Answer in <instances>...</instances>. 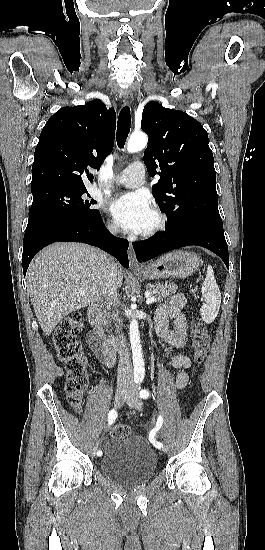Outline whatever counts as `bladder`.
<instances>
[{
	"label": "bladder",
	"instance_id": "1",
	"mask_svg": "<svg viewBox=\"0 0 265 550\" xmlns=\"http://www.w3.org/2000/svg\"><path fill=\"white\" fill-rule=\"evenodd\" d=\"M100 470L126 487L141 485L157 471V457L148 441L139 435L112 438L104 448Z\"/></svg>",
	"mask_w": 265,
	"mask_h": 550
}]
</instances>
